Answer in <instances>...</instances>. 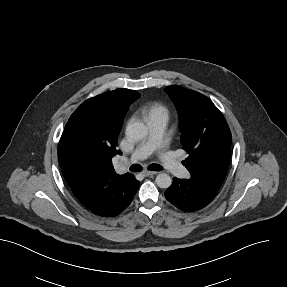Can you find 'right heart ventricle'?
Listing matches in <instances>:
<instances>
[{
  "label": "right heart ventricle",
  "instance_id": "right-heart-ventricle-1",
  "mask_svg": "<svg viewBox=\"0 0 287 287\" xmlns=\"http://www.w3.org/2000/svg\"><path fill=\"white\" fill-rule=\"evenodd\" d=\"M141 112L148 121L156 119L163 120L166 123L170 115L167 106L159 102L144 105Z\"/></svg>",
  "mask_w": 287,
  "mask_h": 287
}]
</instances>
